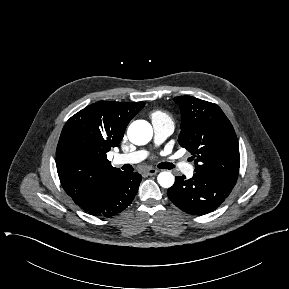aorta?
<instances>
[{
  "label": "aorta",
  "mask_w": 289,
  "mask_h": 289,
  "mask_svg": "<svg viewBox=\"0 0 289 289\" xmlns=\"http://www.w3.org/2000/svg\"><path fill=\"white\" fill-rule=\"evenodd\" d=\"M127 135L133 144L145 145L152 139V126L145 120H136L130 124ZM157 181L161 187L170 188L173 186L175 178L171 172L163 171L157 176Z\"/></svg>",
  "instance_id": "obj_1"
}]
</instances>
